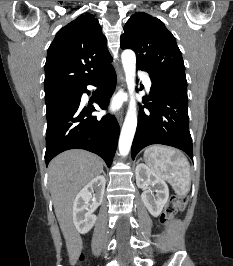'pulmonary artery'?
I'll return each instance as SVG.
<instances>
[{
    "mask_svg": "<svg viewBox=\"0 0 233 266\" xmlns=\"http://www.w3.org/2000/svg\"><path fill=\"white\" fill-rule=\"evenodd\" d=\"M139 76L142 79V81L144 82L145 87L147 89H150L151 88V80H150L149 76L146 73H140Z\"/></svg>",
    "mask_w": 233,
    "mask_h": 266,
    "instance_id": "1",
    "label": "pulmonary artery"
}]
</instances>
